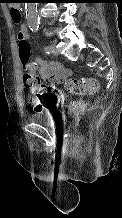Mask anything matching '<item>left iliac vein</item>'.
<instances>
[{
	"label": "left iliac vein",
	"instance_id": "1",
	"mask_svg": "<svg viewBox=\"0 0 122 218\" xmlns=\"http://www.w3.org/2000/svg\"><path fill=\"white\" fill-rule=\"evenodd\" d=\"M51 48H52V54L55 55V56H58V55H59V52H58V50L56 49V46H55V45H51Z\"/></svg>",
	"mask_w": 122,
	"mask_h": 218
}]
</instances>
